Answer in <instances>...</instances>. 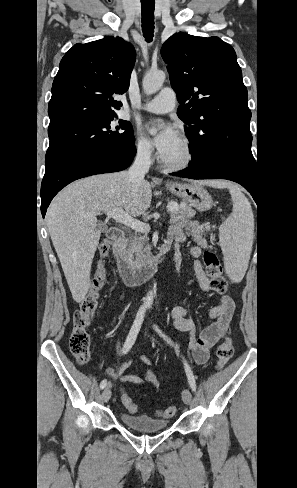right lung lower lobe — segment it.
<instances>
[{"label":"right lung lower lobe","mask_w":297,"mask_h":488,"mask_svg":"<svg viewBox=\"0 0 297 488\" xmlns=\"http://www.w3.org/2000/svg\"><path fill=\"white\" fill-rule=\"evenodd\" d=\"M135 153L134 144L92 149L75 153L46 170L40 192L42 216L63 187L86 176L124 170Z\"/></svg>","instance_id":"obj_1"}]
</instances>
